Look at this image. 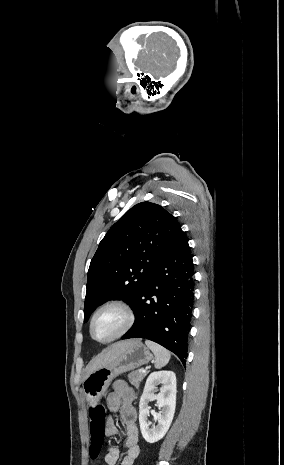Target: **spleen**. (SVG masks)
I'll return each instance as SVG.
<instances>
[{
    "instance_id": "obj_1",
    "label": "spleen",
    "mask_w": 284,
    "mask_h": 465,
    "mask_svg": "<svg viewBox=\"0 0 284 465\" xmlns=\"http://www.w3.org/2000/svg\"><path fill=\"white\" fill-rule=\"evenodd\" d=\"M145 345L155 355V369H161V367H165L169 363L171 355L167 349H164L161 345H157V343H152V341H145Z\"/></svg>"
}]
</instances>
